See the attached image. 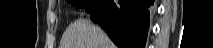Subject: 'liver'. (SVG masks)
I'll list each match as a JSON object with an SVG mask.
<instances>
[{"instance_id": "obj_1", "label": "liver", "mask_w": 213, "mask_h": 48, "mask_svg": "<svg viewBox=\"0 0 213 48\" xmlns=\"http://www.w3.org/2000/svg\"><path fill=\"white\" fill-rule=\"evenodd\" d=\"M59 48H116L107 34L86 19L71 23L62 35Z\"/></svg>"}]
</instances>
